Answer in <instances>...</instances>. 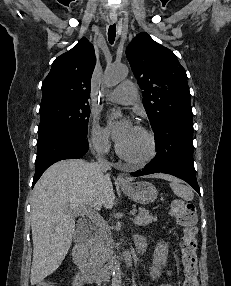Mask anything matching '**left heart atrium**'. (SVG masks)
Returning a JSON list of instances; mask_svg holds the SVG:
<instances>
[{"label": "left heart atrium", "instance_id": "obj_1", "mask_svg": "<svg viewBox=\"0 0 231 286\" xmlns=\"http://www.w3.org/2000/svg\"><path fill=\"white\" fill-rule=\"evenodd\" d=\"M108 123L113 138L118 144L125 141L134 129V126L129 119L120 118V115L116 112L109 114Z\"/></svg>", "mask_w": 231, "mask_h": 286}]
</instances>
